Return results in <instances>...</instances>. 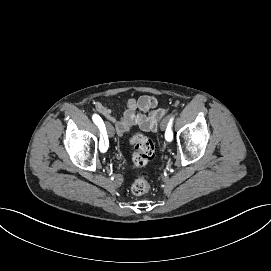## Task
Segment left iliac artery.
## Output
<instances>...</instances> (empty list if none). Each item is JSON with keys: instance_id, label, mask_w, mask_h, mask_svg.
<instances>
[{"instance_id": "1", "label": "left iliac artery", "mask_w": 271, "mask_h": 271, "mask_svg": "<svg viewBox=\"0 0 271 271\" xmlns=\"http://www.w3.org/2000/svg\"><path fill=\"white\" fill-rule=\"evenodd\" d=\"M172 121H173V118L170 119L169 124H168V130L165 132L166 140H169V141H174V136L172 135V130H170V128L172 126Z\"/></svg>"}]
</instances>
